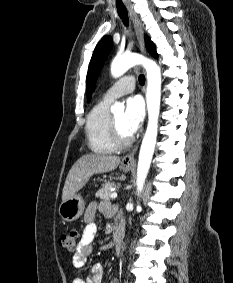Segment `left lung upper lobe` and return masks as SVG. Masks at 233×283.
Here are the masks:
<instances>
[{"label": "left lung upper lobe", "instance_id": "5c2ea615", "mask_svg": "<svg viewBox=\"0 0 233 283\" xmlns=\"http://www.w3.org/2000/svg\"><path fill=\"white\" fill-rule=\"evenodd\" d=\"M146 42V48L149 51V53L157 58L158 55L156 53V47L154 43L150 40L148 36L145 37ZM113 46V40L111 36H104L101 41L96 46L90 64L87 74V98L88 101L91 99L92 95V87L96 80V77L98 75V72L104 63L107 55L109 54L111 47Z\"/></svg>", "mask_w": 233, "mask_h": 283}]
</instances>
